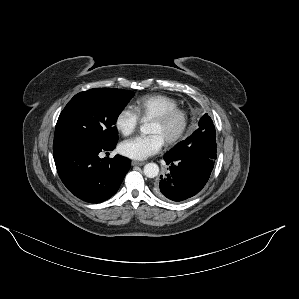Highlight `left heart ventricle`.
<instances>
[{
    "label": "left heart ventricle",
    "instance_id": "1",
    "mask_svg": "<svg viewBox=\"0 0 299 299\" xmlns=\"http://www.w3.org/2000/svg\"><path fill=\"white\" fill-rule=\"evenodd\" d=\"M179 126V119L174 118L168 123L160 124L154 120L151 121L149 126V133H157L162 136L165 140L167 137L172 135Z\"/></svg>",
    "mask_w": 299,
    "mask_h": 299
}]
</instances>
